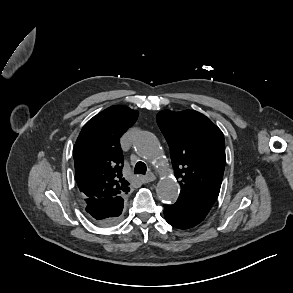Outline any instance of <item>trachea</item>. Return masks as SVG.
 <instances>
[{"mask_svg":"<svg viewBox=\"0 0 293 293\" xmlns=\"http://www.w3.org/2000/svg\"><path fill=\"white\" fill-rule=\"evenodd\" d=\"M146 171H147V167H146L145 163H143L141 161L136 163L135 169H134L135 174H143L144 175L146 173Z\"/></svg>","mask_w":293,"mask_h":293,"instance_id":"1","label":"trachea"}]
</instances>
